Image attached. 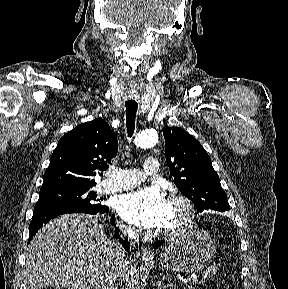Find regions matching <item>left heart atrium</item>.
I'll list each match as a JSON object with an SVG mask.
<instances>
[{"mask_svg": "<svg viewBox=\"0 0 288 289\" xmlns=\"http://www.w3.org/2000/svg\"><path fill=\"white\" fill-rule=\"evenodd\" d=\"M115 209L131 224L157 228L168 221L169 202L159 187L149 186L118 196Z\"/></svg>", "mask_w": 288, "mask_h": 289, "instance_id": "obj_1", "label": "left heart atrium"}]
</instances>
